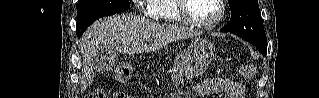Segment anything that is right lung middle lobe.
Listing matches in <instances>:
<instances>
[{
	"label": "right lung middle lobe",
	"mask_w": 319,
	"mask_h": 98,
	"mask_svg": "<svg viewBox=\"0 0 319 98\" xmlns=\"http://www.w3.org/2000/svg\"><path fill=\"white\" fill-rule=\"evenodd\" d=\"M129 8L128 0H78L77 21L101 14H113Z\"/></svg>",
	"instance_id": "1"
}]
</instances>
